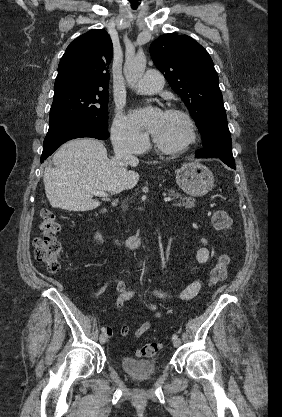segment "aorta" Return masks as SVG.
I'll return each instance as SVG.
<instances>
[{
	"label": "aorta",
	"mask_w": 282,
	"mask_h": 417,
	"mask_svg": "<svg viewBox=\"0 0 282 417\" xmlns=\"http://www.w3.org/2000/svg\"><path fill=\"white\" fill-rule=\"evenodd\" d=\"M146 62L145 54H137V56H132V58H126L123 70L125 78L130 84H135L141 78Z\"/></svg>",
	"instance_id": "obj_1"
}]
</instances>
